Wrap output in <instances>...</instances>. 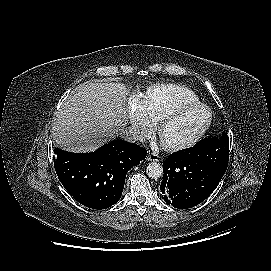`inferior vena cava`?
Returning <instances> with one entry per match:
<instances>
[{
    "label": "inferior vena cava",
    "mask_w": 271,
    "mask_h": 271,
    "mask_svg": "<svg viewBox=\"0 0 271 271\" xmlns=\"http://www.w3.org/2000/svg\"><path fill=\"white\" fill-rule=\"evenodd\" d=\"M121 138L127 142L143 141L144 137L134 128L128 127L120 133Z\"/></svg>",
    "instance_id": "inferior-vena-cava-1"
}]
</instances>
